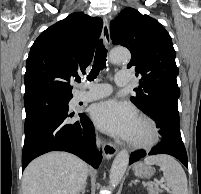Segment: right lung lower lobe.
<instances>
[{
  "label": "right lung lower lobe",
  "mask_w": 201,
  "mask_h": 194,
  "mask_svg": "<svg viewBox=\"0 0 201 194\" xmlns=\"http://www.w3.org/2000/svg\"><path fill=\"white\" fill-rule=\"evenodd\" d=\"M72 94L35 92L24 95L26 110L22 169L34 158L50 151L73 153L97 168L102 155L95 150L94 126L90 119L69 112Z\"/></svg>",
  "instance_id": "right-lung-lower-lobe-1"
}]
</instances>
